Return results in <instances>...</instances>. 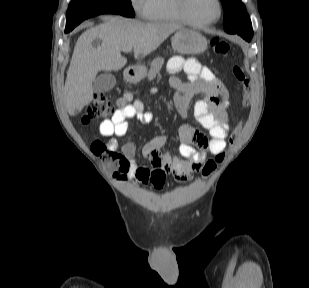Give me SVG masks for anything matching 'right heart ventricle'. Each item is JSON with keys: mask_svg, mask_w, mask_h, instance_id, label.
<instances>
[{"mask_svg": "<svg viewBox=\"0 0 309 288\" xmlns=\"http://www.w3.org/2000/svg\"><path fill=\"white\" fill-rule=\"evenodd\" d=\"M143 16L155 22L185 23L177 11L175 0H147Z\"/></svg>", "mask_w": 309, "mask_h": 288, "instance_id": "1", "label": "right heart ventricle"}]
</instances>
